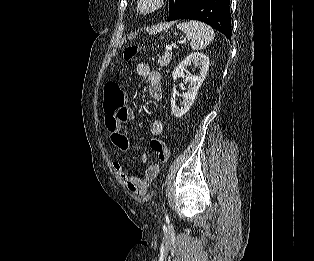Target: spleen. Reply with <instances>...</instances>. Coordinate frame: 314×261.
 <instances>
[{"label": "spleen", "mask_w": 314, "mask_h": 261, "mask_svg": "<svg viewBox=\"0 0 314 261\" xmlns=\"http://www.w3.org/2000/svg\"><path fill=\"white\" fill-rule=\"evenodd\" d=\"M177 28L182 30L190 40L192 50L197 51L205 48L214 39V30L207 24L199 21L179 23Z\"/></svg>", "instance_id": "spleen-1"}]
</instances>
